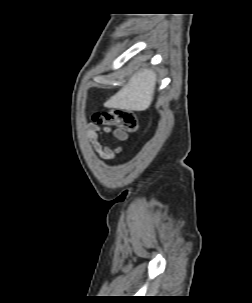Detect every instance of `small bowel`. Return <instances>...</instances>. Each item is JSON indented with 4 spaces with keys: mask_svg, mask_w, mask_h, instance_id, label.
Returning <instances> with one entry per match:
<instances>
[{
    "mask_svg": "<svg viewBox=\"0 0 252 303\" xmlns=\"http://www.w3.org/2000/svg\"><path fill=\"white\" fill-rule=\"evenodd\" d=\"M111 135L114 140L118 142L115 146H109L104 144L98 139V135ZM85 136L89 148L97 154V156L104 161L112 160L117 154L122 152L121 142L127 138V133L119 128L111 129L110 127H104L102 129L90 125L85 131Z\"/></svg>",
    "mask_w": 252,
    "mask_h": 303,
    "instance_id": "c3829d8e",
    "label": "small bowel"
}]
</instances>
